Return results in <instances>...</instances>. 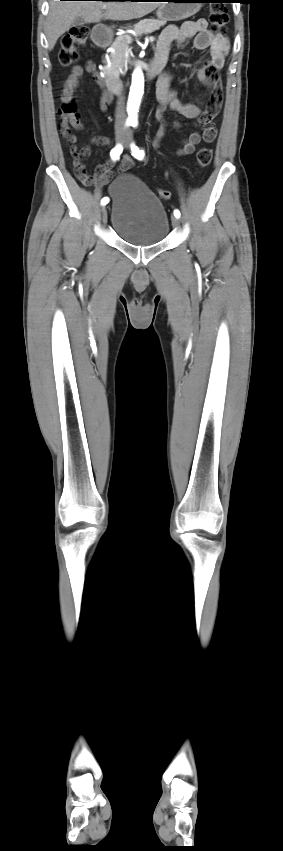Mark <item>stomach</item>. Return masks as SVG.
Listing matches in <instances>:
<instances>
[{
	"label": "stomach",
	"mask_w": 283,
	"mask_h": 851,
	"mask_svg": "<svg viewBox=\"0 0 283 851\" xmlns=\"http://www.w3.org/2000/svg\"><path fill=\"white\" fill-rule=\"evenodd\" d=\"M201 0H170L162 4L157 10V17L161 21H179L196 14L201 8ZM97 39L110 41L112 35L103 26L95 29Z\"/></svg>",
	"instance_id": "0dacf381"
}]
</instances>
